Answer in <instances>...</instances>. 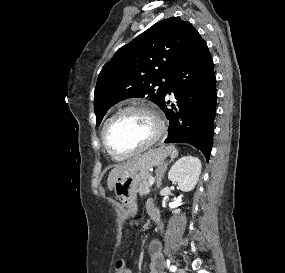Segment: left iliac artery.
<instances>
[{
    "label": "left iliac artery",
    "instance_id": "1",
    "mask_svg": "<svg viewBox=\"0 0 285 273\" xmlns=\"http://www.w3.org/2000/svg\"><path fill=\"white\" fill-rule=\"evenodd\" d=\"M169 269L171 272H175L177 270V267L175 265H171Z\"/></svg>",
    "mask_w": 285,
    "mask_h": 273
}]
</instances>
